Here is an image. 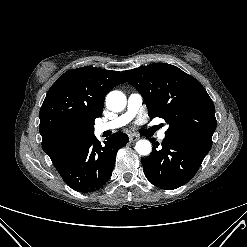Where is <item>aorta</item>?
<instances>
[{
    "label": "aorta",
    "mask_w": 247,
    "mask_h": 247,
    "mask_svg": "<svg viewBox=\"0 0 247 247\" xmlns=\"http://www.w3.org/2000/svg\"><path fill=\"white\" fill-rule=\"evenodd\" d=\"M126 96L121 91H111L106 96V106L113 112H121L126 107ZM135 150L142 156H147L152 151L149 140H139L135 145Z\"/></svg>",
    "instance_id": "1"
}]
</instances>
